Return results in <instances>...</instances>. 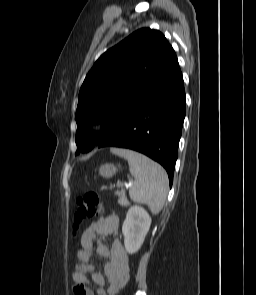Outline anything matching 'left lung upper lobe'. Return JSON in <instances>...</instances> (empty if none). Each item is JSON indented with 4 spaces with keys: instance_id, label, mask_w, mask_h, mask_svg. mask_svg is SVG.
Segmentation results:
<instances>
[{
    "instance_id": "obj_1",
    "label": "left lung upper lobe",
    "mask_w": 256,
    "mask_h": 295,
    "mask_svg": "<svg viewBox=\"0 0 256 295\" xmlns=\"http://www.w3.org/2000/svg\"><path fill=\"white\" fill-rule=\"evenodd\" d=\"M178 67L175 51L165 36L149 28L137 30L102 54L79 92L76 155L90 151L111 134ZM94 120L103 122L104 130L92 136Z\"/></svg>"
}]
</instances>
